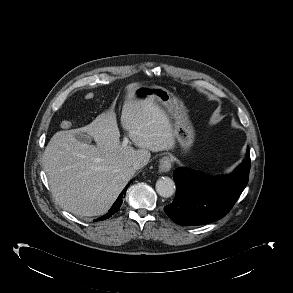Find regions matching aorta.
Masks as SVG:
<instances>
[{"label": "aorta", "mask_w": 293, "mask_h": 293, "mask_svg": "<svg viewBox=\"0 0 293 293\" xmlns=\"http://www.w3.org/2000/svg\"><path fill=\"white\" fill-rule=\"evenodd\" d=\"M156 192L164 198L171 197L175 192V183L169 177H161L156 182Z\"/></svg>", "instance_id": "762f6f07"}]
</instances>
